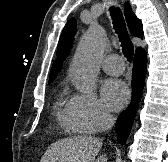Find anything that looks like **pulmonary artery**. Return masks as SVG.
Segmentation results:
<instances>
[{"label":"pulmonary artery","instance_id":"pulmonary-artery-1","mask_svg":"<svg viewBox=\"0 0 168 162\" xmlns=\"http://www.w3.org/2000/svg\"><path fill=\"white\" fill-rule=\"evenodd\" d=\"M102 68L110 75H120L124 70V63L119 55L110 54L103 60Z\"/></svg>","mask_w":168,"mask_h":162}]
</instances>
